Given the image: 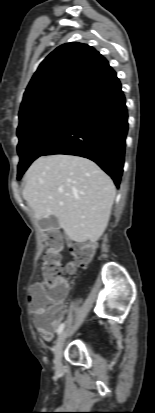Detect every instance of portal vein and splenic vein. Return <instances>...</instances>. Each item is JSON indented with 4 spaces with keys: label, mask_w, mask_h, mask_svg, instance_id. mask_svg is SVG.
Returning a JSON list of instances; mask_svg holds the SVG:
<instances>
[{
    "label": "portal vein and splenic vein",
    "mask_w": 155,
    "mask_h": 413,
    "mask_svg": "<svg viewBox=\"0 0 155 413\" xmlns=\"http://www.w3.org/2000/svg\"><path fill=\"white\" fill-rule=\"evenodd\" d=\"M59 192H62V190H61V189H59Z\"/></svg>",
    "instance_id": "18ae733b"
}]
</instances>
